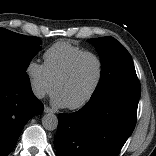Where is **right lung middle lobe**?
I'll return each mask as SVG.
<instances>
[{"instance_id":"dd1d6c3e","label":"right lung middle lobe","mask_w":156,"mask_h":156,"mask_svg":"<svg viewBox=\"0 0 156 156\" xmlns=\"http://www.w3.org/2000/svg\"><path fill=\"white\" fill-rule=\"evenodd\" d=\"M41 41L0 28V77L29 82L26 70Z\"/></svg>"}]
</instances>
